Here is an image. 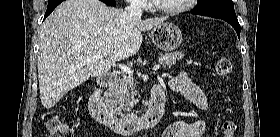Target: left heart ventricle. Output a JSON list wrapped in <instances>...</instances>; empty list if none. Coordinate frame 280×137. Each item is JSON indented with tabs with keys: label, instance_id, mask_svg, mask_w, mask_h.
<instances>
[{
	"label": "left heart ventricle",
	"instance_id": "1",
	"mask_svg": "<svg viewBox=\"0 0 280 137\" xmlns=\"http://www.w3.org/2000/svg\"><path fill=\"white\" fill-rule=\"evenodd\" d=\"M162 7H176L182 4V0H156Z\"/></svg>",
	"mask_w": 280,
	"mask_h": 137
}]
</instances>
